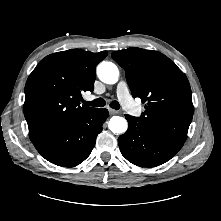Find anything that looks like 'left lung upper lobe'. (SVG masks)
<instances>
[{"instance_id":"obj_1","label":"left lung upper lobe","mask_w":221,"mask_h":221,"mask_svg":"<svg viewBox=\"0 0 221 221\" xmlns=\"http://www.w3.org/2000/svg\"><path fill=\"white\" fill-rule=\"evenodd\" d=\"M112 58L125 69L132 96L147 102L140 121L155 133L184 143L193 117L185 74L157 51L128 48L113 52Z\"/></svg>"}]
</instances>
